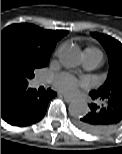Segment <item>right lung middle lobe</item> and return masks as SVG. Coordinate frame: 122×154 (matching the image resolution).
I'll return each instance as SVG.
<instances>
[{
  "mask_svg": "<svg viewBox=\"0 0 122 154\" xmlns=\"http://www.w3.org/2000/svg\"><path fill=\"white\" fill-rule=\"evenodd\" d=\"M49 55L30 45L17 30L1 32V84L25 86L34 77V71L47 66Z\"/></svg>",
  "mask_w": 122,
  "mask_h": 154,
  "instance_id": "1",
  "label": "right lung middle lobe"
}]
</instances>
